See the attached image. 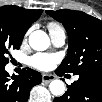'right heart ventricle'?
Listing matches in <instances>:
<instances>
[{"mask_svg": "<svg viewBox=\"0 0 102 102\" xmlns=\"http://www.w3.org/2000/svg\"><path fill=\"white\" fill-rule=\"evenodd\" d=\"M47 26L50 32L63 30L62 26L57 22H50Z\"/></svg>", "mask_w": 102, "mask_h": 102, "instance_id": "e07e8e85", "label": "right heart ventricle"}]
</instances>
